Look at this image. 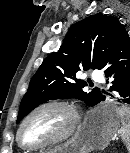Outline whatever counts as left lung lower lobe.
<instances>
[{"instance_id":"0a47b994","label":"left lung lower lobe","mask_w":130,"mask_h":153,"mask_svg":"<svg viewBox=\"0 0 130 153\" xmlns=\"http://www.w3.org/2000/svg\"><path fill=\"white\" fill-rule=\"evenodd\" d=\"M102 70L108 78L107 83L112 84L111 93L106 94L117 102L130 104V38L126 30L119 33L110 47ZM104 100L101 93L94 105Z\"/></svg>"}]
</instances>
